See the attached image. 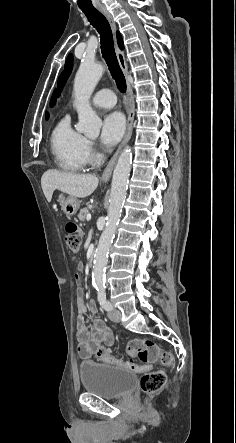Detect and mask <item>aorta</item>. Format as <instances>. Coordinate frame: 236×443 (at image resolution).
<instances>
[{
    "label": "aorta",
    "instance_id": "obj_1",
    "mask_svg": "<svg viewBox=\"0 0 236 443\" xmlns=\"http://www.w3.org/2000/svg\"><path fill=\"white\" fill-rule=\"evenodd\" d=\"M103 71L104 67L101 64L85 60L81 63L74 80V106L79 119L76 129L90 138L98 137L102 126V121L91 108L89 100ZM131 160V149L127 146L121 152L113 172L106 227L94 256L92 282L97 287L104 286L108 253L125 201Z\"/></svg>",
    "mask_w": 236,
    "mask_h": 443
}]
</instances>
